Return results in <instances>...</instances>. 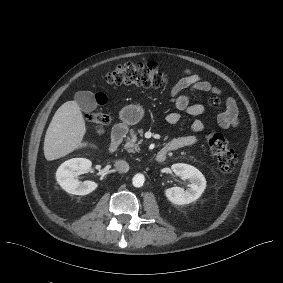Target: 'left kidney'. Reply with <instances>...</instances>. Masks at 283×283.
I'll list each match as a JSON object with an SVG mask.
<instances>
[{
    "label": "left kidney",
    "mask_w": 283,
    "mask_h": 283,
    "mask_svg": "<svg viewBox=\"0 0 283 283\" xmlns=\"http://www.w3.org/2000/svg\"><path fill=\"white\" fill-rule=\"evenodd\" d=\"M172 171L190 184L185 190L181 187H172L165 190L168 200L177 205L189 204L196 201L206 188L204 175L194 166L177 163L171 166Z\"/></svg>",
    "instance_id": "obj_1"
}]
</instances>
